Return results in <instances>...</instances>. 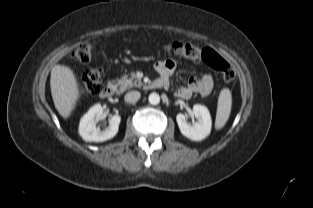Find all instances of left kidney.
<instances>
[{
	"instance_id": "left-kidney-1",
	"label": "left kidney",
	"mask_w": 313,
	"mask_h": 208,
	"mask_svg": "<svg viewBox=\"0 0 313 208\" xmlns=\"http://www.w3.org/2000/svg\"><path fill=\"white\" fill-rule=\"evenodd\" d=\"M193 114L197 118V122L193 125H189L186 117L181 113L177 114L176 121L182 135L193 141H200L210 134L212 125L211 116L205 106L198 104L193 106Z\"/></svg>"
}]
</instances>
